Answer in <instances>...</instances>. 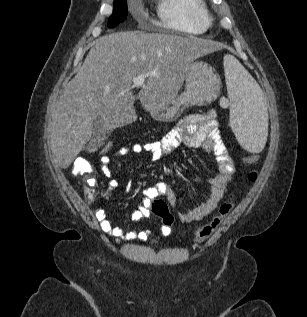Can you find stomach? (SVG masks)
<instances>
[{
    "label": "stomach",
    "mask_w": 307,
    "mask_h": 317,
    "mask_svg": "<svg viewBox=\"0 0 307 317\" xmlns=\"http://www.w3.org/2000/svg\"><path fill=\"white\" fill-rule=\"evenodd\" d=\"M185 83V90L181 95H176L164 106L152 105L148 108L152 118L162 122L174 121L186 107L213 101L218 96L221 86L215 69L203 61H195L188 65Z\"/></svg>",
    "instance_id": "stomach-1"
}]
</instances>
